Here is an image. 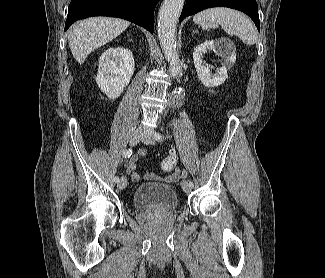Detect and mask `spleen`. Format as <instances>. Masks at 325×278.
Listing matches in <instances>:
<instances>
[{"label":"spleen","instance_id":"1","mask_svg":"<svg viewBox=\"0 0 325 278\" xmlns=\"http://www.w3.org/2000/svg\"><path fill=\"white\" fill-rule=\"evenodd\" d=\"M193 21L205 30L220 25L226 33L237 35L246 45L256 44L257 31L254 25L236 10L224 7L206 9L194 15Z\"/></svg>","mask_w":325,"mask_h":278}]
</instances>
